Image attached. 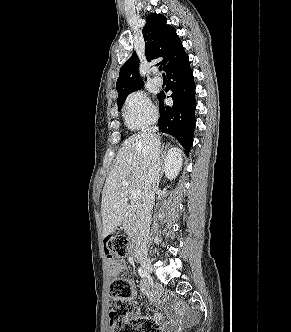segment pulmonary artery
<instances>
[{
	"mask_svg": "<svg viewBox=\"0 0 291 332\" xmlns=\"http://www.w3.org/2000/svg\"><path fill=\"white\" fill-rule=\"evenodd\" d=\"M153 82L158 86L163 84L162 78L160 76H157V75L153 78Z\"/></svg>",
	"mask_w": 291,
	"mask_h": 332,
	"instance_id": "1",
	"label": "pulmonary artery"
}]
</instances>
